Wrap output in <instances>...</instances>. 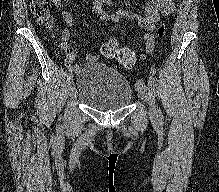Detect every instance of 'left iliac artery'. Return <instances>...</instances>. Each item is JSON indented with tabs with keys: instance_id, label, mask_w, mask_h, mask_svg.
<instances>
[{
	"instance_id": "left-iliac-artery-1",
	"label": "left iliac artery",
	"mask_w": 219,
	"mask_h": 192,
	"mask_svg": "<svg viewBox=\"0 0 219 192\" xmlns=\"http://www.w3.org/2000/svg\"><path fill=\"white\" fill-rule=\"evenodd\" d=\"M148 82L151 86H153V90H155L157 87V82H156L155 78L153 76H150L148 79ZM158 117H159V119L163 118V115H162V112L160 109L158 110Z\"/></svg>"
}]
</instances>
